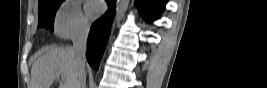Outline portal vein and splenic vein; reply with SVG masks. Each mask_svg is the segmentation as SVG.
Returning <instances> with one entry per match:
<instances>
[{
    "mask_svg": "<svg viewBox=\"0 0 267 88\" xmlns=\"http://www.w3.org/2000/svg\"><path fill=\"white\" fill-rule=\"evenodd\" d=\"M61 79H62V81H64L65 80V77L62 75L61 76ZM67 86H64V88H66Z\"/></svg>",
    "mask_w": 267,
    "mask_h": 88,
    "instance_id": "18ae733b",
    "label": "portal vein and splenic vein"
}]
</instances>
